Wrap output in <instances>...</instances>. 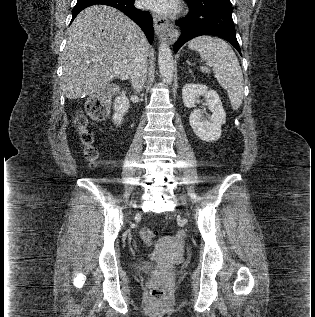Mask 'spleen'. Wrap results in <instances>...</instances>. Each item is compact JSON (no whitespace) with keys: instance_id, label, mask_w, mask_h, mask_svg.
Masks as SVG:
<instances>
[{"instance_id":"3e777b00","label":"spleen","mask_w":315,"mask_h":317,"mask_svg":"<svg viewBox=\"0 0 315 317\" xmlns=\"http://www.w3.org/2000/svg\"><path fill=\"white\" fill-rule=\"evenodd\" d=\"M188 47L196 50L207 66L212 67L218 83L227 90L232 108L239 109L244 96V80L239 61L230 45L218 37L199 36L189 41ZM207 66L200 67L203 73H210Z\"/></svg>"}]
</instances>
